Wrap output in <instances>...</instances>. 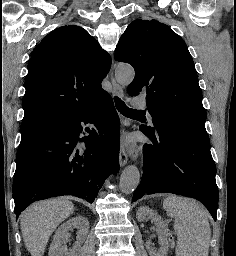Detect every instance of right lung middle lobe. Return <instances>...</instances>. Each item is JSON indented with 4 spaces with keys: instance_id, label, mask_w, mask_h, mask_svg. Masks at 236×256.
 Returning <instances> with one entry per match:
<instances>
[{
    "instance_id": "obj_1",
    "label": "right lung middle lobe",
    "mask_w": 236,
    "mask_h": 256,
    "mask_svg": "<svg viewBox=\"0 0 236 256\" xmlns=\"http://www.w3.org/2000/svg\"><path fill=\"white\" fill-rule=\"evenodd\" d=\"M63 120L55 117H41L22 121L21 142L40 134Z\"/></svg>"
}]
</instances>
